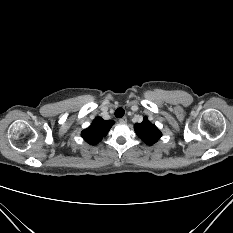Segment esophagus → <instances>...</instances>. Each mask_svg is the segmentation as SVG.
<instances>
[{
	"instance_id": "esophagus-1",
	"label": "esophagus",
	"mask_w": 233,
	"mask_h": 233,
	"mask_svg": "<svg viewBox=\"0 0 233 233\" xmlns=\"http://www.w3.org/2000/svg\"><path fill=\"white\" fill-rule=\"evenodd\" d=\"M120 123H126L127 122V118L126 117H122L119 119Z\"/></svg>"
}]
</instances>
